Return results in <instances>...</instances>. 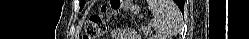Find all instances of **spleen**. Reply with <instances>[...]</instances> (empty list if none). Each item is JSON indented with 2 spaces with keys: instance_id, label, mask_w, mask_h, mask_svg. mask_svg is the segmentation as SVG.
<instances>
[{
  "instance_id": "1",
  "label": "spleen",
  "mask_w": 249,
  "mask_h": 39,
  "mask_svg": "<svg viewBox=\"0 0 249 39\" xmlns=\"http://www.w3.org/2000/svg\"><path fill=\"white\" fill-rule=\"evenodd\" d=\"M148 5L154 17L152 26L157 37L162 39L170 33L173 22L180 21V12L177 7H170V1L167 0H149Z\"/></svg>"
}]
</instances>
